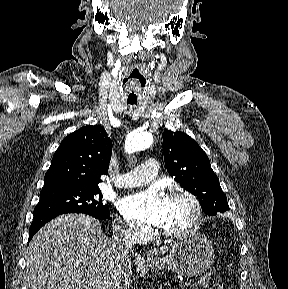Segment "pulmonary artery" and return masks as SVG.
<instances>
[{
    "mask_svg": "<svg viewBox=\"0 0 288 289\" xmlns=\"http://www.w3.org/2000/svg\"><path fill=\"white\" fill-rule=\"evenodd\" d=\"M158 173V162L153 158H149L132 171L121 175L114 184L118 187H134L150 182Z\"/></svg>",
    "mask_w": 288,
    "mask_h": 289,
    "instance_id": "pulmonary-artery-1",
    "label": "pulmonary artery"
}]
</instances>
